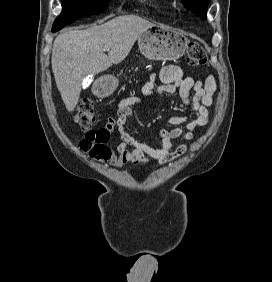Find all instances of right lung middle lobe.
<instances>
[{"label":"right lung middle lobe","instance_id":"1","mask_svg":"<svg viewBox=\"0 0 272 282\" xmlns=\"http://www.w3.org/2000/svg\"><path fill=\"white\" fill-rule=\"evenodd\" d=\"M110 0H62V12L54 21L53 27L70 24L79 18L100 13Z\"/></svg>","mask_w":272,"mask_h":282}]
</instances>
